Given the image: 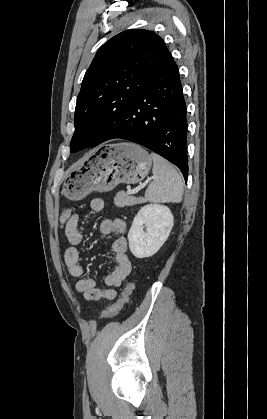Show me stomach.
Instances as JSON below:
<instances>
[{
	"label": "stomach",
	"mask_w": 267,
	"mask_h": 419,
	"mask_svg": "<svg viewBox=\"0 0 267 419\" xmlns=\"http://www.w3.org/2000/svg\"><path fill=\"white\" fill-rule=\"evenodd\" d=\"M151 166V156L137 144H104L69 171L62 193L70 200H81L92 191L107 192L120 183L136 184Z\"/></svg>",
	"instance_id": "stomach-1"
}]
</instances>
